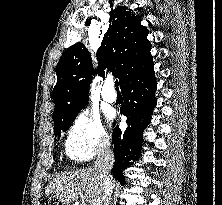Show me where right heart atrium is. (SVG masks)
<instances>
[{
  "label": "right heart atrium",
  "mask_w": 222,
  "mask_h": 205,
  "mask_svg": "<svg viewBox=\"0 0 222 205\" xmlns=\"http://www.w3.org/2000/svg\"><path fill=\"white\" fill-rule=\"evenodd\" d=\"M109 142V135L98 116L83 111L67 131L65 150L72 160L85 161L106 149Z\"/></svg>",
  "instance_id": "obj_1"
}]
</instances>
